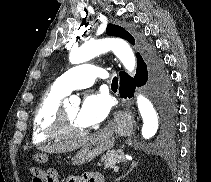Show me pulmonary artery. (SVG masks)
<instances>
[{
  "instance_id": "pulmonary-artery-1",
  "label": "pulmonary artery",
  "mask_w": 211,
  "mask_h": 182,
  "mask_svg": "<svg viewBox=\"0 0 211 182\" xmlns=\"http://www.w3.org/2000/svg\"><path fill=\"white\" fill-rule=\"evenodd\" d=\"M107 72L92 64L77 65L63 73L54 86L66 94L74 89L86 88L94 84L99 78H107Z\"/></svg>"
}]
</instances>
